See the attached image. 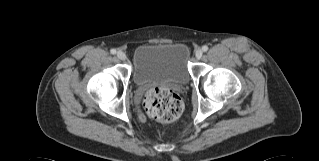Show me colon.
Masks as SVG:
<instances>
[{"mask_svg": "<svg viewBox=\"0 0 319 161\" xmlns=\"http://www.w3.org/2000/svg\"><path fill=\"white\" fill-rule=\"evenodd\" d=\"M143 107L151 118L169 123L180 117L184 104L172 90L165 87H153L145 94Z\"/></svg>", "mask_w": 319, "mask_h": 161, "instance_id": "1", "label": "colon"}]
</instances>
